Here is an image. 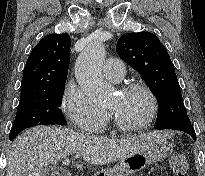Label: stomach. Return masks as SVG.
I'll list each match as a JSON object with an SVG mask.
<instances>
[{"instance_id": "obj_1", "label": "stomach", "mask_w": 205, "mask_h": 176, "mask_svg": "<svg viewBox=\"0 0 205 176\" xmlns=\"http://www.w3.org/2000/svg\"><path fill=\"white\" fill-rule=\"evenodd\" d=\"M172 144L162 140L154 146L121 159L113 169L104 172L107 176H128L141 171L151 165L164 160L171 152Z\"/></svg>"}]
</instances>
